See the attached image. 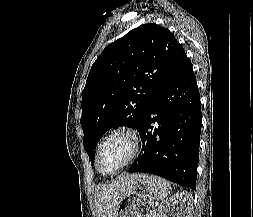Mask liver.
<instances>
[{"label": "liver", "instance_id": "obj_1", "mask_svg": "<svg viewBox=\"0 0 253 217\" xmlns=\"http://www.w3.org/2000/svg\"><path fill=\"white\" fill-rule=\"evenodd\" d=\"M142 174H122L94 191L96 217H115L120 201L127 196Z\"/></svg>", "mask_w": 253, "mask_h": 217}]
</instances>
